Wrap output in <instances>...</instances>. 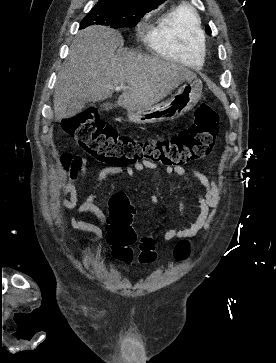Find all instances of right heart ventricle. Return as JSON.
Wrapping results in <instances>:
<instances>
[{"label": "right heart ventricle", "mask_w": 276, "mask_h": 363, "mask_svg": "<svg viewBox=\"0 0 276 363\" xmlns=\"http://www.w3.org/2000/svg\"><path fill=\"white\" fill-rule=\"evenodd\" d=\"M149 45L162 58L201 67L205 43L198 14L186 5L169 10L151 30Z\"/></svg>", "instance_id": "1"}]
</instances>
